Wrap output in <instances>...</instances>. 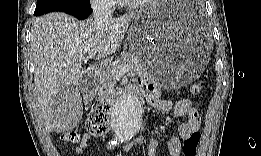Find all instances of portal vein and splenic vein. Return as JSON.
Segmentation results:
<instances>
[{
    "mask_svg": "<svg viewBox=\"0 0 261 156\" xmlns=\"http://www.w3.org/2000/svg\"><path fill=\"white\" fill-rule=\"evenodd\" d=\"M89 57H91V55ZM83 61H85V58L83 56H81L79 58V62L82 63ZM131 69H132V67L129 66V65L118 66V67L115 68L116 76H122L126 72L131 71Z\"/></svg>",
    "mask_w": 261,
    "mask_h": 156,
    "instance_id": "obj_1",
    "label": "portal vein and splenic vein"
}]
</instances>
